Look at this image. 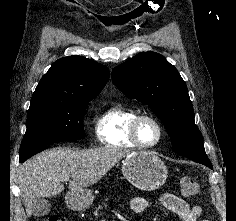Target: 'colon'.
Listing matches in <instances>:
<instances>
[{
	"label": "colon",
	"instance_id": "colon-1",
	"mask_svg": "<svg viewBox=\"0 0 236 221\" xmlns=\"http://www.w3.org/2000/svg\"><path fill=\"white\" fill-rule=\"evenodd\" d=\"M180 186H181L182 194L186 197L196 196L200 191L198 182L194 178L189 177V176H184L181 178ZM44 221H67V220L64 218L58 217L56 215H52Z\"/></svg>",
	"mask_w": 236,
	"mask_h": 221
}]
</instances>
